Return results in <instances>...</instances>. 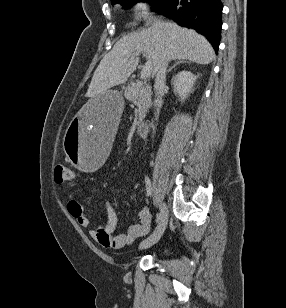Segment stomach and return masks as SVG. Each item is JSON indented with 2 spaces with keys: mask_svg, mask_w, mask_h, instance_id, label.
Wrapping results in <instances>:
<instances>
[{
  "mask_svg": "<svg viewBox=\"0 0 286 308\" xmlns=\"http://www.w3.org/2000/svg\"><path fill=\"white\" fill-rule=\"evenodd\" d=\"M122 85H111L96 97H88L84 109H79L71 122H66L63 148L76 171L94 174L109 161L114 133L121 129L120 118L124 106Z\"/></svg>",
  "mask_w": 286,
  "mask_h": 308,
  "instance_id": "1",
  "label": "stomach"
}]
</instances>
